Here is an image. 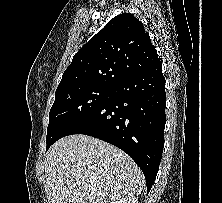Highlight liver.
<instances>
[{
  "instance_id": "1",
  "label": "liver",
  "mask_w": 222,
  "mask_h": 203,
  "mask_svg": "<svg viewBox=\"0 0 222 203\" xmlns=\"http://www.w3.org/2000/svg\"><path fill=\"white\" fill-rule=\"evenodd\" d=\"M44 165L49 203H120L139 195L145 182L125 152L87 135L55 142Z\"/></svg>"
}]
</instances>
